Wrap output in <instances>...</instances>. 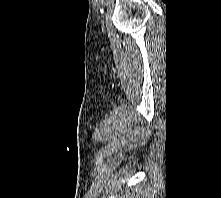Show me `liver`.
<instances>
[{
  "label": "liver",
  "instance_id": "6515ba94",
  "mask_svg": "<svg viewBox=\"0 0 221 198\" xmlns=\"http://www.w3.org/2000/svg\"><path fill=\"white\" fill-rule=\"evenodd\" d=\"M129 198H153V195L149 193V190L137 188L136 190H133Z\"/></svg>",
  "mask_w": 221,
  "mask_h": 198
}]
</instances>
